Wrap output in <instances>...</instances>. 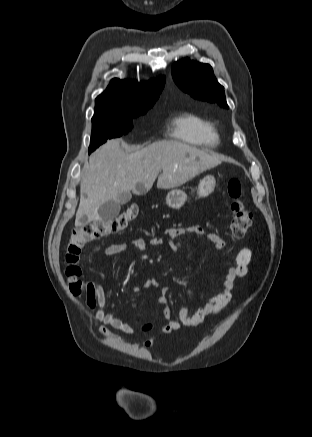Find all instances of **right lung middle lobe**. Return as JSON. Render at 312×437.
<instances>
[{"label":"right lung middle lobe","mask_w":312,"mask_h":437,"mask_svg":"<svg viewBox=\"0 0 312 437\" xmlns=\"http://www.w3.org/2000/svg\"><path fill=\"white\" fill-rule=\"evenodd\" d=\"M138 116L139 115L94 114L92 118V135L89 151L95 150L101 144L105 143L107 139L126 134L132 129L133 119Z\"/></svg>","instance_id":"1"}]
</instances>
